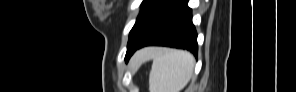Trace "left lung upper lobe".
Masks as SVG:
<instances>
[{
  "mask_svg": "<svg viewBox=\"0 0 296 92\" xmlns=\"http://www.w3.org/2000/svg\"><path fill=\"white\" fill-rule=\"evenodd\" d=\"M170 0H143L141 11L129 34L127 51L138 44L151 30Z\"/></svg>",
  "mask_w": 296,
  "mask_h": 92,
  "instance_id": "1",
  "label": "left lung upper lobe"
}]
</instances>
